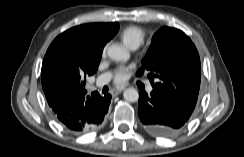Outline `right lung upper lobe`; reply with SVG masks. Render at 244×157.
Here are the masks:
<instances>
[{
	"mask_svg": "<svg viewBox=\"0 0 244 157\" xmlns=\"http://www.w3.org/2000/svg\"><path fill=\"white\" fill-rule=\"evenodd\" d=\"M119 30V24L92 23L73 27L49 46L41 70L47 102L86 94L83 77L98 68L105 44Z\"/></svg>",
	"mask_w": 244,
	"mask_h": 157,
	"instance_id": "right-lung-upper-lobe-1",
	"label": "right lung upper lobe"
}]
</instances>
